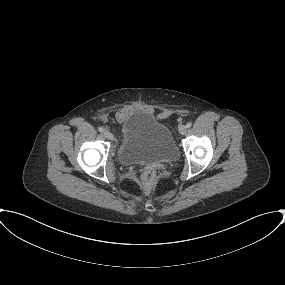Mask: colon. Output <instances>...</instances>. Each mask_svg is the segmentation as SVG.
Instances as JSON below:
<instances>
[{
    "mask_svg": "<svg viewBox=\"0 0 285 285\" xmlns=\"http://www.w3.org/2000/svg\"><path fill=\"white\" fill-rule=\"evenodd\" d=\"M156 180L155 172L151 169L146 170L142 175V183L146 189H150Z\"/></svg>",
    "mask_w": 285,
    "mask_h": 285,
    "instance_id": "colon-1",
    "label": "colon"
}]
</instances>
